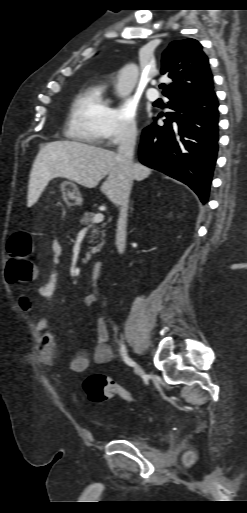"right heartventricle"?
Masks as SVG:
<instances>
[{
  "instance_id": "1",
  "label": "right heart ventricle",
  "mask_w": 247,
  "mask_h": 513,
  "mask_svg": "<svg viewBox=\"0 0 247 513\" xmlns=\"http://www.w3.org/2000/svg\"><path fill=\"white\" fill-rule=\"evenodd\" d=\"M110 109L103 83L84 86L72 101L65 129L66 137L87 144H102Z\"/></svg>"
}]
</instances>
